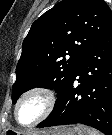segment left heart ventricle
I'll use <instances>...</instances> for the list:
<instances>
[{
	"label": "left heart ventricle",
	"instance_id": "left-heart-ventricle-1",
	"mask_svg": "<svg viewBox=\"0 0 112 135\" xmlns=\"http://www.w3.org/2000/svg\"><path fill=\"white\" fill-rule=\"evenodd\" d=\"M45 108L44 99L38 95L25 98L19 105L17 117L22 124H28L36 120Z\"/></svg>",
	"mask_w": 112,
	"mask_h": 135
}]
</instances>
